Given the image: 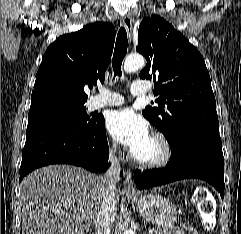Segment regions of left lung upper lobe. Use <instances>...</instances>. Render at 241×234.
Instances as JSON below:
<instances>
[{
    "instance_id": "1",
    "label": "left lung upper lobe",
    "mask_w": 241,
    "mask_h": 234,
    "mask_svg": "<svg viewBox=\"0 0 241 234\" xmlns=\"http://www.w3.org/2000/svg\"><path fill=\"white\" fill-rule=\"evenodd\" d=\"M139 53L147 60L140 78H153L157 107L144 117L173 149L190 133L219 135L216 101L204 59L179 31L157 15L145 17L138 30ZM153 103V102H152Z\"/></svg>"
}]
</instances>
